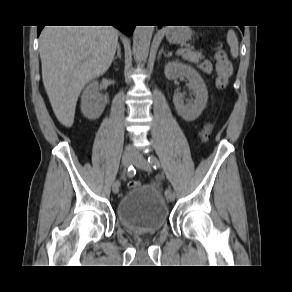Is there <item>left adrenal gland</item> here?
I'll use <instances>...</instances> for the list:
<instances>
[{
  "mask_svg": "<svg viewBox=\"0 0 292 292\" xmlns=\"http://www.w3.org/2000/svg\"><path fill=\"white\" fill-rule=\"evenodd\" d=\"M164 54V56L166 57L167 54L164 52V47H162L158 53V59L161 57V55Z\"/></svg>",
  "mask_w": 292,
  "mask_h": 292,
  "instance_id": "1",
  "label": "left adrenal gland"
}]
</instances>
